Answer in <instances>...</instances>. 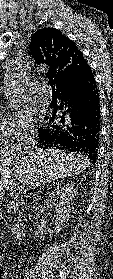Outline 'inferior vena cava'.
I'll use <instances>...</instances> for the list:
<instances>
[{"label": "inferior vena cava", "mask_w": 113, "mask_h": 279, "mask_svg": "<svg viewBox=\"0 0 113 279\" xmlns=\"http://www.w3.org/2000/svg\"><path fill=\"white\" fill-rule=\"evenodd\" d=\"M19 147L25 150H32L35 148V129L33 127L29 128L24 135L22 141L19 143Z\"/></svg>", "instance_id": "inferior-vena-cava-1"}]
</instances>
